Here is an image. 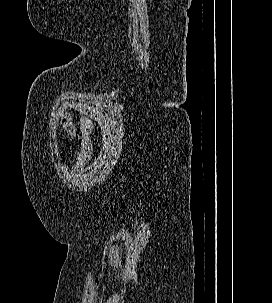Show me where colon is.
Returning <instances> with one entry per match:
<instances>
[{
    "label": "colon",
    "instance_id": "5ec220e1",
    "mask_svg": "<svg viewBox=\"0 0 272 303\" xmlns=\"http://www.w3.org/2000/svg\"><path fill=\"white\" fill-rule=\"evenodd\" d=\"M91 130H92V121L88 117H84L82 119V144L76 162L77 167L83 164L87 160L90 154L91 145H92Z\"/></svg>",
    "mask_w": 272,
    "mask_h": 303
}]
</instances>
